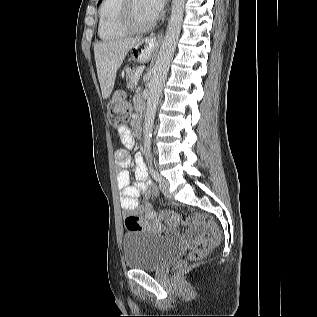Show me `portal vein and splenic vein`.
Masks as SVG:
<instances>
[{"label": "portal vein and splenic vein", "instance_id": "portal-vein-and-splenic-vein-1", "mask_svg": "<svg viewBox=\"0 0 317 317\" xmlns=\"http://www.w3.org/2000/svg\"><path fill=\"white\" fill-rule=\"evenodd\" d=\"M144 70V66H139L137 68V71H136V83L138 82L139 78H140V75L142 74Z\"/></svg>", "mask_w": 317, "mask_h": 317}]
</instances>
